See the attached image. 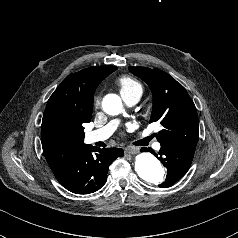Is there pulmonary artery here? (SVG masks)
<instances>
[{
	"instance_id": "1",
	"label": "pulmonary artery",
	"mask_w": 238,
	"mask_h": 238,
	"mask_svg": "<svg viewBox=\"0 0 238 238\" xmlns=\"http://www.w3.org/2000/svg\"><path fill=\"white\" fill-rule=\"evenodd\" d=\"M122 97L128 106H134L140 99V96L134 95V94L125 95ZM118 123H119L118 120H112L105 126L88 132L85 136L86 142L87 143H95L98 141H104V140L108 139L112 135V133L115 131V129L117 128ZM153 147L155 150H159L161 145L159 142H155L153 144Z\"/></svg>"
}]
</instances>
